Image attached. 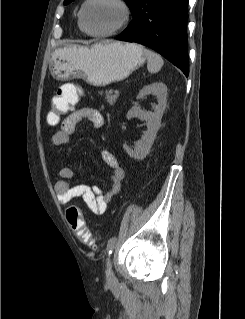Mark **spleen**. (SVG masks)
Masks as SVG:
<instances>
[{
  "label": "spleen",
  "mask_w": 245,
  "mask_h": 319,
  "mask_svg": "<svg viewBox=\"0 0 245 319\" xmlns=\"http://www.w3.org/2000/svg\"><path fill=\"white\" fill-rule=\"evenodd\" d=\"M144 54L147 58L148 71L150 73L158 72L164 64L162 57L149 49H144Z\"/></svg>",
  "instance_id": "spleen-1"
}]
</instances>
